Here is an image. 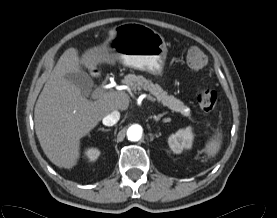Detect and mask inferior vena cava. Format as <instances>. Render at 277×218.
<instances>
[{"instance_id":"inferior-vena-cava-1","label":"inferior vena cava","mask_w":277,"mask_h":218,"mask_svg":"<svg viewBox=\"0 0 277 218\" xmlns=\"http://www.w3.org/2000/svg\"><path fill=\"white\" fill-rule=\"evenodd\" d=\"M120 119V113L117 110L112 111L110 114L106 115L102 122L105 126H113L115 125Z\"/></svg>"}]
</instances>
